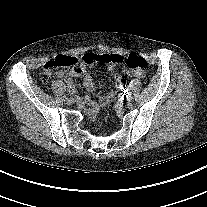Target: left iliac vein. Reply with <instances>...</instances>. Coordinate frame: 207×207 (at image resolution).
Wrapping results in <instances>:
<instances>
[{
  "instance_id": "obj_1",
  "label": "left iliac vein",
  "mask_w": 207,
  "mask_h": 207,
  "mask_svg": "<svg viewBox=\"0 0 207 207\" xmlns=\"http://www.w3.org/2000/svg\"><path fill=\"white\" fill-rule=\"evenodd\" d=\"M121 102L123 103V104H131L132 102H133V99L132 98H130V99H127L126 97H123L122 99H121Z\"/></svg>"
}]
</instances>
